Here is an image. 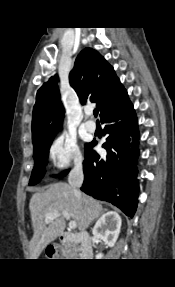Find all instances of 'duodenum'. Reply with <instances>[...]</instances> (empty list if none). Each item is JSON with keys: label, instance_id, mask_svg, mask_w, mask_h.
Masks as SVG:
<instances>
[{"label": "duodenum", "instance_id": "1", "mask_svg": "<svg viewBox=\"0 0 175 287\" xmlns=\"http://www.w3.org/2000/svg\"><path fill=\"white\" fill-rule=\"evenodd\" d=\"M62 240L65 245L77 244L82 258L87 259L92 256L91 238L87 232L64 233Z\"/></svg>", "mask_w": 175, "mask_h": 287}]
</instances>
